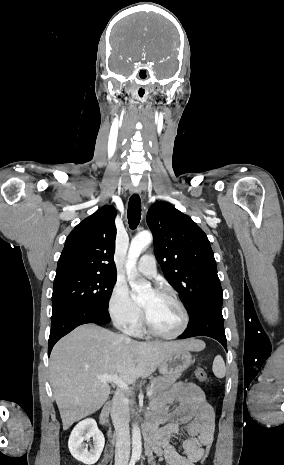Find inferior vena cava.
I'll return each mask as SVG.
<instances>
[{"mask_svg":"<svg viewBox=\"0 0 284 465\" xmlns=\"http://www.w3.org/2000/svg\"><path fill=\"white\" fill-rule=\"evenodd\" d=\"M111 419L116 433L115 465H128L130 457L129 405L121 391H116L112 399Z\"/></svg>","mask_w":284,"mask_h":465,"instance_id":"1","label":"inferior vena cava"}]
</instances>
